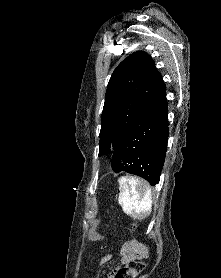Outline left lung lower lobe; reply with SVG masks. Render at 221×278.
I'll return each instance as SVG.
<instances>
[{
    "instance_id": "obj_1",
    "label": "left lung lower lobe",
    "mask_w": 221,
    "mask_h": 278,
    "mask_svg": "<svg viewBox=\"0 0 221 278\" xmlns=\"http://www.w3.org/2000/svg\"><path fill=\"white\" fill-rule=\"evenodd\" d=\"M168 107L165 83L136 118L113 150L112 169L138 175L151 185L159 183L168 142Z\"/></svg>"
}]
</instances>
